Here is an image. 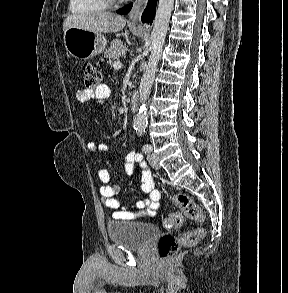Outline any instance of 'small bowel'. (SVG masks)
<instances>
[{
	"mask_svg": "<svg viewBox=\"0 0 288 293\" xmlns=\"http://www.w3.org/2000/svg\"><path fill=\"white\" fill-rule=\"evenodd\" d=\"M77 99L81 103L94 102L98 105L106 103L110 96V88L106 84L100 85L96 90L81 89L77 92ZM91 154H107L110 151L108 144L89 142L87 145ZM141 169V189L147 194L144 199L137 200L131 204L124 205L115 196L119 193V186L110 183L109 172L101 169L98 173L103 186L101 196L106 207L113 210L114 219L131 220L142 216H155L159 208L160 192L156 189L152 174L147 169L141 154L131 151L126 156L125 172L133 175Z\"/></svg>",
	"mask_w": 288,
	"mask_h": 293,
	"instance_id": "1",
	"label": "small bowel"
}]
</instances>
